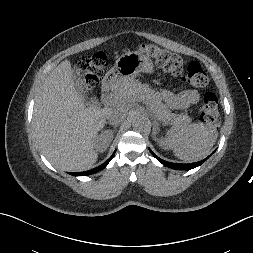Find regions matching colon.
<instances>
[{
	"label": "colon",
	"instance_id": "obj_1",
	"mask_svg": "<svg viewBox=\"0 0 253 253\" xmlns=\"http://www.w3.org/2000/svg\"><path fill=\"white\" fill-rule=\"evenodd\" d=\"M140 50L164 70L179 76L183 84L193 87L207 85L208 77L198 62L185 63L177 54L152 44L142 45ZM106 65L107 57L103 52H94L82 59L79 65V75L87 89H92L98 84ZM199 115L201 122L205 125L214 127L220 125L221 115L218 109V99L214 93L206 92L204 94Z\"/></svg>",
	"mask_w": 253,
	"mask_h": 253
}]
</instances>
